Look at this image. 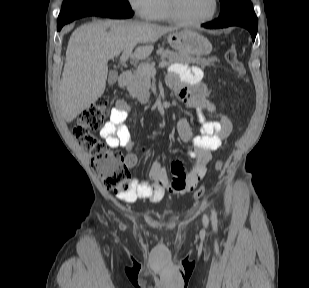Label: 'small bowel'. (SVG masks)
Instances as JSON below:
<instances>
[{
    "instance_id": "1",
    "label": "small bowel",
    "mask_w": 309,
    "mask_h": 288,
    "mask_svg": "<svg viewBox=\"0 0 309 288\" xmlns=\"http://www.w3.org/2000/svg\"><path fill=\"white\" fill-rule=\"evenodd\" d=\"M203 73L198 66L175 64L168 75L167 83L175 90L185 106L193 110L200 121L199 133L195 134L185 118L177 121V131L180 138L191 145L189 156L193 160L191 168L186 170L180 160L171 164V177L165 167L154 162L150 168L151 181L135 179L131 189L124 194H118L120 201L132 203L138 199L157 202L162 199L165 188L170 187L175 194L193 191L206 173V167L211 154L222 146L223 141L232 131V123L225 115L218 121L207 120L204 112H213L214 105L209 99L206 86L201 82ZM129 105L124 100H118L111 110L110 119L100 130V136L111 148L134 149L130 129L126 123L129 116ZM137 161L136 155L128 153L126 163L133 167Z\"/></svg>"
}]
</instances>
